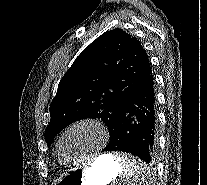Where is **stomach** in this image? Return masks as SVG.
<instances>
[{
  "label": "stomach",
  "mask_w": 207,
  "mask_h": 185,
  "mask_svg": "<svg viewBox=\"0 0 207 185\" xmlns=\"http://www.w3.org/2000/svg\"><path fill=\"white\" fill-rule=\"evenodd\" d=\"M121 170L122 164L116 156L103 154L90 165L67 173L53 185H108Z\"/></svg>",
  "instance_id": "0dacf381"
}]
</instances>
